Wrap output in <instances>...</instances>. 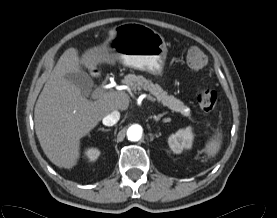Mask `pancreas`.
Masks as SVG:
<instances>
[{"label": "pancreas", "mask_w": 277, "mask_h": 218, "mask_svg": "<svg viewBox=\"0 0 277 218\" xmlns=\"http://www.w3.org/2000/svg\"><path fill=\"white\" fill-rule=\"evenodd\" d=\"M123 83L130 87L133 91L146 90L156 97L157 101L167 106L172 111L178 112L192 120L190 109L173 95H168L160 85L152 83L143 76L128 74L124 77Z\"/></svg>", "instance_id": "cf45deb5"}]
</instances>
